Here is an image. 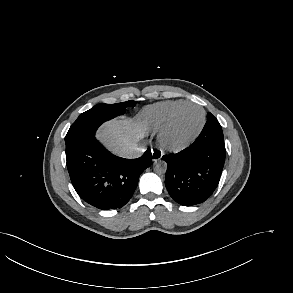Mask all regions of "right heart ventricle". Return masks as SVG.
<instances>
[{"label": "right heart ventricle", "mask_w": 293, "mask_h": 293, "mask_svg": "<svg viewBox=\"0 0 293 293\" xmlns=\"http://www.w3.org/2000/svg\"><path fill=\"white\" fill-rule=\"evenodd\" d=\"M185 102L187 101H162L146 108L143 112V119L148 129L152 132L161 130L172 111Z\"/></svg>", "instance_id": "obj_1"}]
</instances>
